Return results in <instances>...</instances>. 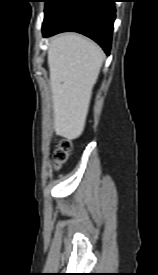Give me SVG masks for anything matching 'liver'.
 I'll use <instances>...</instances> for the list:
<instances>
[{"instance_id": "liver-1", "label": "liver", "mask_w": 158, "mask_h": 275, "mask_svg": "<svg viewBox=\"0 0 158 275\" xmlns=\"http://www.w3.org/2000/svg\"><path fill=\"white\" fill-rule=\"evenodd\" d=\"M105 54L93 41L74 33L50 41L48 65L55 132L68 139L84 130L93 87Z\"/></svg>"}]
</instances>
